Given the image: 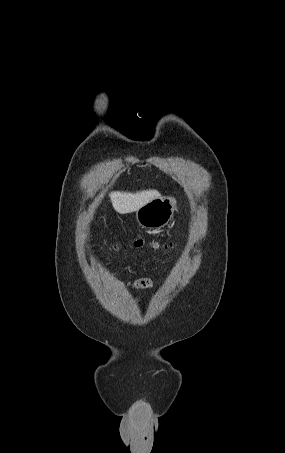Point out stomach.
<instances>
[{"label": "stomach", "instance_id": "stomach-1", "mask_svg": "<svg viewBox=\"0 0 285 453\" xmlns=\"http://www.w3.org/2000/svg\"><path fill=\"white\" fill-rule=\"evenodd\" d=\"M176 201L172 197H157L138 208L135 217L145 229H161L173 218Z\"/></svg>", "mask_w": 285, "mask_h": 453}]
</instances>
